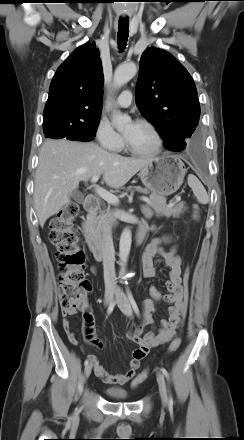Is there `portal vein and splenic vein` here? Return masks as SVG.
I'll return each mask as SVG.
<instances>
[{
	"instance_id": "18ae733b",
	"label": "portal vein and splenic vein",
	"mask_w": 244,
	"mask_h": 440,
	"mask_svg": "<svg viewBox=\"0 0 244 440\" xmlns=\"http://www.w3.org/2000/svg\"><path fill=\"white\" fill-rule=\"evenodd\" d=\"M100 175H95L91 178V182L93 183L94 189L96 191V193L102 198L104 199L106 202L113 204V205H118L119 204V199L117 196L113 195L112 193L108 192L107 190L97 186L95 183L99 180ZM143 202H146L147 204H149L151 201L148 197L142 196L140 198ZM177 201H180L181 198L177 197L176 198Z\"/></svg>"
}]
</instances>
